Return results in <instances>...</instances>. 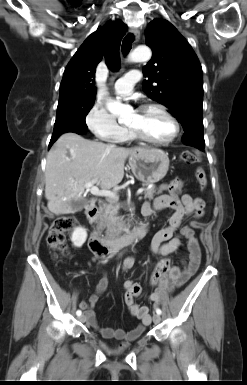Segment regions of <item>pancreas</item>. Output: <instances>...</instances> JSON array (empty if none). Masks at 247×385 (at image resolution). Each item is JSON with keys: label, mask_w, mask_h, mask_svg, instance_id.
Masks as SVG:
<instances>
[{"label": "pancreas", "mask_w": 247, "mask_h": 385, "mask_svg": "<svg viewBox=\"0 0 247 385\" xmlns=\"http://www.w3.org/2000/svg\"><path fill=\"white\" fill-rule=\"evenodd\" d=\"M144 199H153L156 193V187L147 188L144 190ZM118 206L110 204H104L101 208L100 214V227L107 228V234L117 235V227L119 225L120 217L117 216Z\"/></svg>", "instance_id": "pancreas-1"}]
</instances>
